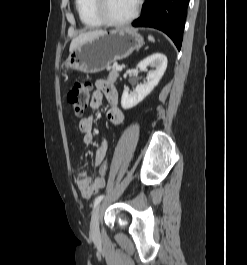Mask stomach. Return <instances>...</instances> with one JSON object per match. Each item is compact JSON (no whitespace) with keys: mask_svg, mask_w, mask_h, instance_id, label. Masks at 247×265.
<instances>
[{"mask_svg":"<svg viewBox=\"0 0 247 265\" xmlns=\"http://www.w3.org/2000/svg\"><path fill=\"white\" fill-rule=\"evenodd\" d=\"M143 43L141 35L131 28L105 31L70 51L62 69L65 73L70 70L98 73L108 68L113 62L125 59L134 50L140 49Z\"/></svg>","mask_w":247,"mask_h":265,"instance_id":"1","label":"stomach"}]
</instances>
